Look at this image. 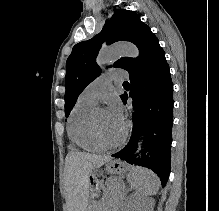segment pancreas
<instances>
[{"label": "pancreas", "instance_id": "cf45deb5", "mask_svg": "<svg viewBox=\"0 0 219 211\" xmlns=\"http://www.w3.org/2000/svg\"><path fill=\"white\" fill-rule=\"evenodd\" d=\"M125 186L107 187L110 194L105 195L104 199L92 200L91 211H121L120 203L125 199V195L121 193Z\"/></svg>", "mask_w": 219, "mask_h": 211}]
</instances>
